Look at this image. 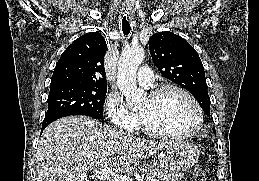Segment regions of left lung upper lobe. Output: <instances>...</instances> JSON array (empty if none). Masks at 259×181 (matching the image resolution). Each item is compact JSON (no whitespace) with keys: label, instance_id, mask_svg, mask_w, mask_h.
<instances>
[{"label":"left lung upper lobe","instance_id":"1","mask_svg":"<svg viewBox=\"0 0 259 181\" xmlns=\"http://www.w3.org/2000/svg\"><path fill=\"white\" fill-rule=\"evenodd\" d=\"M149 49L161 74L187 89L209 116L211 102L204 67L194 48L174 33L158 32L150 37Z\"/></svg>","mask_w":259,"mask_h":181}]
</instances>
